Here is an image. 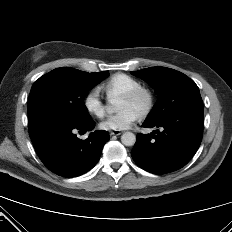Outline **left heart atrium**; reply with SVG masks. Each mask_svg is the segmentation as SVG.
<instances>
[{"mask_svg": "<svg viewBox=\"0 0 232 232\" xmlns=\"http://www.w3.org/2000/svg\"><path fill=\"white\" fill-rule=\"evenodd\" d=\"M140 115L132 109L122 110L114 115L109 116L100 127L108 131H122L129 129L138 119Z\"/></svg>", "mask_w": 232, "mask_h": 232, "instance_id": "left-heart-atrium-1", "label": "left heart atrium"}]
</instances>
